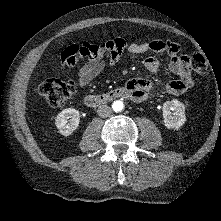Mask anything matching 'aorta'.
<instances>
[{
  "mask_svg": "<svg viewBox=\"0 0 221 221\" xmlns=\"http://www.w3.org/2000/svg\"><path fill=\"white\" fill-rule=\"evenodd\" d=\"M112 107H113V110H114L115 112H120V111L123 110L124 104H123L122 101L116 100V101H114Z\"/></svg>",
  "mask_w": 221,
  "mask_h": 221,
  "instance_id": "obj_1",
  "label": "aorta"
}]
</instances>
